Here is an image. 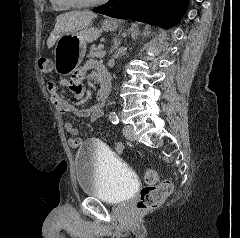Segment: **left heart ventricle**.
Masks as SVG:
<instances>
[{"label": "left heart ventricle", "mask_w": 240, "mask_h": 238, "mask_svg": "<svg viewBox=\"0 0 240 238\" xmlns=\"http://www.w3.org/2000/svg\"><path fill=\"white\" fill-rule=\"evenodd\" d=\"M67 1H73V2H78V3H90L95 0H67Z\"/></svg>", "instance_id": "left-heart-ventricle-1"}]
</instances>
